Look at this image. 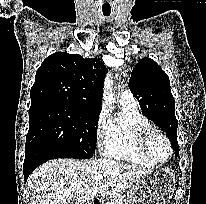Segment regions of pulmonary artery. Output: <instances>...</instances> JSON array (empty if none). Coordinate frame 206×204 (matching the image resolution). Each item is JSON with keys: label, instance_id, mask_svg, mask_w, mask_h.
<instances>
[{"label": "pulmonary artery", "instance_id": "obj_1", "mask_svg": "<svg viewBox=\"0 0 206 204\" xmlns=\"http://www.w3.org/2000/svg\"><path fill=\"white\" fill-rule=\"evenodd\" d=\"M119 100L120 102H123V103H127L130 105H136L135 97L128 90H122L121 92H119Z\"/></svg>", "mask_w": 206, "mask_h": 204}]
</instances>
